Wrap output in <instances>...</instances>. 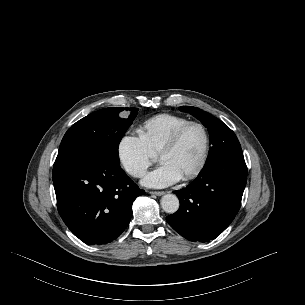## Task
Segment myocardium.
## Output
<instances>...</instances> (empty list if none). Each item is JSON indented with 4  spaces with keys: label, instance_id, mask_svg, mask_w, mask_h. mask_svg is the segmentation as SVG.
I'll return each mask as SVG.
<instances>
[{
    "label": "myocardium",
    "instance_id": "obj_1",
    "mask_svg": "<svg viewBox=\"0 0 305 305\" xmlns=\"http://www.w3.org/2000/svg\"><path fill=\"white\" fill-rule=\"evenodd\" d=\"M199 127L203 134H204V150L201 157V160L199 164L196 166L195 169H193L191 172L186 174L185 176L181 177L183 181H188L191 179L196 178L205 168L209 155H210V149H211V137L208 128L201 122L198 121H190L186 123L185 125L181 126L178 130L174 132V134L168 139V141L160 148L158 152V159L160 160V157L171 150H173L178 143L180 142L182 136L184 133L191 127Z\"/></svg>",
    "mask_w": 305,
    "mask_h": 305
}]
</instances>
